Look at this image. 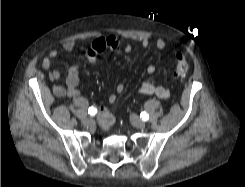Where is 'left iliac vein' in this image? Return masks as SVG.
I'll use <instances>...</instances> for the list:
<instances>
[{"mask_svg": "<svg viewBox=\"0 0 245 187\" xmlns=\"http://www.w3.org/2000/svg\"><path fill=\"white\" fill-rule=\"evenodd\" d=\"M130 121L136 128L144 129L146 127V123L143 120H141L136 114L130 115Z\"/></svg>", "mask_w": 245, "mask_h": 187, "instance_id": "4c4485c4", "label": "left iliac vein"}]
</instances>
